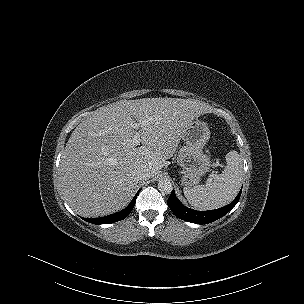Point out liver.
<instances>
[{
	"instance_id": "6515ba94",
	"label": "liver",
	"mask_w": 304,
	"mask_h": 304,
	"mask_svg": "<svg viewBox=\"0 0 304 304\" xmlns=\"http://www.w3.org/2000/svg\"><path fill=\"white\" fill-rule=\"evenodd\" d=\"M206 112L197 100L167 97L121 100L96 110L74 129L61 157L60 187L69 206L83 217L122 210L141 181L136 170L157 175L187 125ZM136 131L140 147L132 143Z\"/></svg>"
}]
</instances>
